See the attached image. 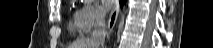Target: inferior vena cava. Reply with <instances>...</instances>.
<instances>
[{
    "label": "inferior vena cava",
    "instance_id": "602c4592",
    "mask_svg": "<svg viewBox=\"0 0 213 48\" xmlns=\"http://www.w3.org/2000/svg\"><path fill=\"white\" fill-rule=\"evenodd\" d=\"M106 36L105 29V16L102 13L97 12L95 16L94 29L91 33V42L96 48L103 46Z\"/></svg>",
    "mask_w": 213,
    "mask_h": 48
}]
</instances>
